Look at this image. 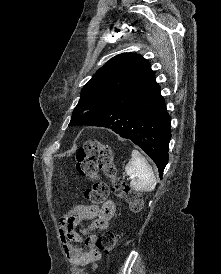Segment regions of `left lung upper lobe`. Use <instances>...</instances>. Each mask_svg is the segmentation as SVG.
Masks as SVG:
<instances>
[{"label":"left lung upper lobe","mask_w":221,"mask_h":274,"mask_svg":"<svg viewBox=\"0 0 221 274\" xmlns=\"http://www.w3.org/2000/svg\"><path fill=\"white\" fill-rule=\"evenodd\" d=\"M155 76L141 55L123 53L110 59L83 87L71 125H91L96 109L136 98Z\"/></svg>","instance_id":"5c2ea615"}]
</instances>
